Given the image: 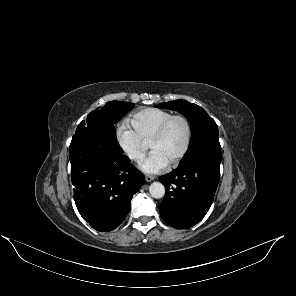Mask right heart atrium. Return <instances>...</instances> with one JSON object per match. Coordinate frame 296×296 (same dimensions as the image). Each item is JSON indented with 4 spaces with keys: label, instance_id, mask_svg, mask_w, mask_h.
Masks as SVG:
<instances>
[{
    "label": "right heart atrium",
    "instance_id": "obj_1",
    "mask_svg": "<svg viewBox=\"0 0 296 296\" xmlns=\"http://www.w3.org/2000/svg\"><path fill=\"white\" fill-rule=\"evenodd\" d=\"M119 146L134 162H141L148 150V144L145 143L139 134L132 128L121 125L116 131Z\"/></svg>",
    "mask_w": 296,
    "mask_h": 296
}]
</instances>
